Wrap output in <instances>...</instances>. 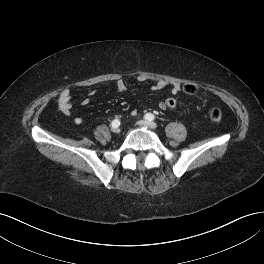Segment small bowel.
<instances>
[{
  "instance_id": "1",
  "label": "small bowel",
  "mask_w": 264,
  "mask_h": 264,
  "mask_svg": "<svg viewBox=\"0 0 264 264\" xmlns=\"http://www.w3.org/2000/svg\"><path fill=\"white\" fill-rule=\"evenodd\" d=\"M138 80L140 82H143L146 80V78L143 76H139ZM115 85H116L118 92L120 93H123L127 90L126 82L123 79H118ZM165 88H170V92L172 95L178 94L181 90V86L179 83H170L166 80H158L152 85V90L154 91L162 90ZM90 94L93 95L94 91H92ZM89 102L90 100L88 98H84L82 100L83 105H88ZM58 105H59L60 112L63 115L70 116L71 109H72V93L69 89H65L60 93L59 99H58ZM159 108L162 110L166 109L162 102L159 104ZM74 122L76 124H81L83 122V118L80 116H77L74 118Z\"/></svg>"
}]
</instances>
